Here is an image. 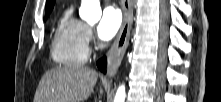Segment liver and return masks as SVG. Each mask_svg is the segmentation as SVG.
<instances>
[{"instance_id": "6515ba94", "label": "liver", "mask_w": 221, "mask_h": 102, "mask_svg": "<svg viewBox=\"0 0 221 102\" xmlns=\"http://www.w3.org/2000/svg\"><path fill=\"white\" fill-rule=\"evenodd\" d=\"M97 79V72L90 68H53L39 82L34 102H84L91 95Z\"/></svg>"}]
</instances>
